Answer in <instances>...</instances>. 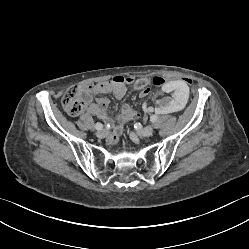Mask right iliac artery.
<instances>
[{"label":"right iliac artery","mask_w":249,"mask_h":249,"mask_svg":"<svg viewBox=\"0 0 249 249\" xmlns=\"http://www.w3.org/2000/svg\"><path fill=\"white\" fill-rule=\"evenodd\" d=\"M95 128L97 129V130H100V129H102L103 128V125L101 124V123H96L95 124Z\"/></svg>","instance_id":"right-iliac-artery-1"}]
</instances>
